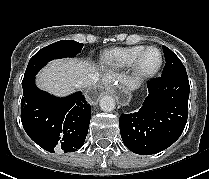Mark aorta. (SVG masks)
Listing matches in <instances>:
<instances>
[{"mask_svg": "<svg viewBox=\"0 0 209 179\" xmlns=\"http://www.w3.org/2000/svg\"><path fill=\"white\" fill-rule=\"evenodd\" d=\"M100 107L105 112L113 111L115 108V101L111 96H104L100 100Z\"/></svg>", "mask_w": 209, "mask_h": 179, "instance_id": "1", "label": "aorta"}]
</instances>
